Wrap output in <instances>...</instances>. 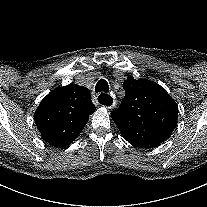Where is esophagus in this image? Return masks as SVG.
Listing matches in <instances>:
<instances>
[{
	"label": "esophagus",
	"mask_w": 207,
	"mask_h": 207,
	"mask_svg": "<svg viewBox=\"0 0 207 207\" xmlns=\"http://www.w3.org/2000/svg\"><path fill=\"white\" fill-rule=\"evenodd\" d=\"M98 97L99 102L103 104L105 107H112L114 105V98L110 96L108 93H101L100 95H95L93 98V102L95 105H98Z\"/></svg>",
	"instance_id": "obj_1"
}]
</instances>
